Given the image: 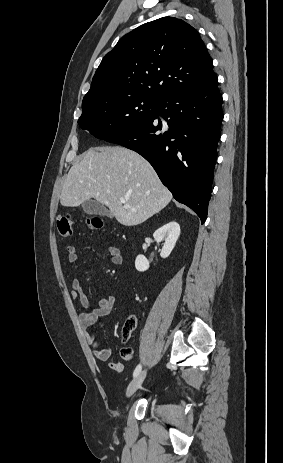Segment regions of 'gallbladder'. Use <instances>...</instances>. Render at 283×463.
Wrapping results in <instances>:
<instances>
[{
	"label": "gallbladder",
	"instance_id": "1",
	"mask_svg": "<svg viewBox=\"0 0 283 463\" xmlns=\"http://www.w3.org/2000/svg\"><path fill=\"white\" fill-rule=\"evenodd\" d=\"M85 213L91 215H106L112 217V213L101 203L95 200H87L82 204Z\"/></svg>",
	"mask_w": 283,
	"mask_h": 463
}]
</instances>
